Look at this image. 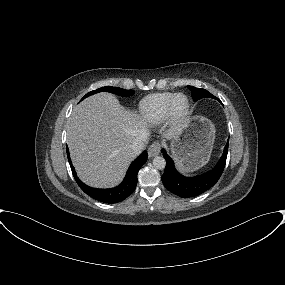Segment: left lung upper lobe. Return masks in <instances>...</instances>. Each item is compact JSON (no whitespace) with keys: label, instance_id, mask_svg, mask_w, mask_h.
<instances>
[{"label":"left lung upper lobe","instance_id":"5c2ea615","mask_svg":"<svg viewBox=\"0 0 285 285\" xmlns=\"http://www.w3.org/2000/svg\"><path fill=\"white\" fill-rule=\"evenodd\" d=\"M188 88L191 91L192 98L194 101H197V100H199L201 98H205V97L217 99L214 95H212L210 92H208L205 89L196 88L193 86H188Z\"/></svg>","mask_w":285,"mask_h":285}]
</instances>
